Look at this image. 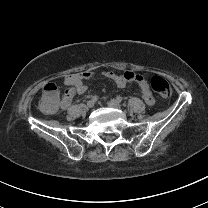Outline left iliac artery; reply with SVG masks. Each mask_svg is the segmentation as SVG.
<instances>
[{
  "mask_svg": "<svg viewBox=\"0 0 208 208\" xmlns=\"http://www.w3.org/2000/svg\"><path fill=\"white\" fill-rule=\"evenodd\" d=\"M122 100H123V98H122L121 96H117V97H116V101H117V102H121Z\"/></svg>",
  "mask_w": 208,
  "mask_h": 208,
  "instance_id": "1",
  "label": "left iliac artery"
}]
</instances>
